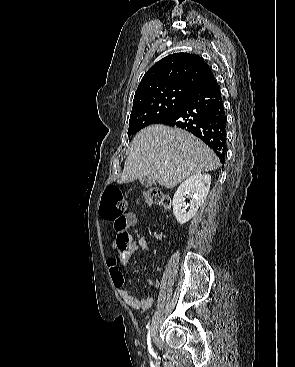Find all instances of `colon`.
Listing matches in <instances>:
<instances>
[{
	"label": "colon",
	"instance_id": "obj_1",
	"mask_svg": "<svg viewBox=\"0 0 295 367\" xmlns=\"http://www.w3.org/2000/svg\"><path fill=\"white\" fill-rule=\"evenodd\" d=\"M145 199L149 204H156L164 207H169L170 205L168 196L157 188L149 189L145 193ZM126 207L127 202L122 191L115 185L108 186L103 194L102 217L113 222H118L122 218ZM119 247L122 253L128 251L129 244L126 233L121 235Z\"/></svg>",
	"mask_w": 295,
	"mask_h": 367
}]
</instances>
